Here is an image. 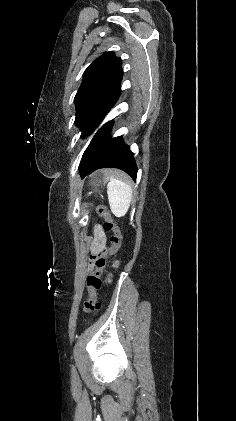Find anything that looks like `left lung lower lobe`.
Returning <instances> with one entry per match:
<instances>
[{
    "label": "left lung lower lobe",
    "instance_id": "left-lung-lower-lobe-1",
    "mask_svg": "<svg viewBox=\"0 0 236 421\" xmlns=\"http://www.w3.org/2000/svg\"><path fill=\"white\" fill-rule=\"evenodd\" d=\"M114 104H112L97 121L91 132L99 126ZM112 125V121L104 124L96 132L85 150L80 166L82 178L99 168L116 167L128 173L133 180H136L137 167L133 158V153L130 151L129 147L124 144L122 137H110Z\"/></svg>",
    "mask_w": 236,
    "mask_h": 421
}]
</instances>
